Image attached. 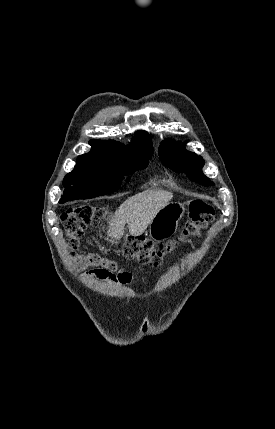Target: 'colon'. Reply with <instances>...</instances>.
<instances>
[{
	"label": "colon",
	"mask_w": 275,
	"mask_h": 429,
	"mask_svg": "<svg viewBox=\"0 0 275 429\" xmlns=\"http://www.w3.org/2000/svg\"><path fill=\"white\" fill-rule=\"evenodd\" d=\"M213 218L214 209L211 206L202 201H194L189 206L188 220L178 237L167 243H154L143 238L128 236L122 244V254L129 260L157 267L166 256L173 254L180 244L200 236ZM61 221L71 241V254L77 257H80L78 244L83 231L88 227H96L101 231L106 228L104 210L88 204L70 207L62 214ZM82 260L89 264H101L105 270L110 272L116 270L111 261L94 254L86 255L82 257ZM115 275L123 277L122 272Z\"/></svg>",
	"instance_id": "5ec220e1"
}]
</instances>
